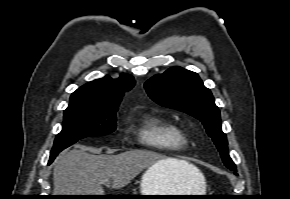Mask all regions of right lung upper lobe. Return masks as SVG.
I'll list each match as a JSON object with an SVG mask.
<instances>
[{
  "label": "right lung upper lobe",
  "instance_id": "cb5924a9",
  "mask_svg": "<svg viewBox=\"0 0 290 199\" xmlns=\"http://www.w3.org/2000/svg\"><path fill=\"white\" fill-rule=\"evenodd\" d=\"M134 86L133 77L121 74L118 79L105 76L89 82L72 93L67 109H118L124 95Z\"/></svg>",
  "mask_w": 290,
  "mask_h": 199
}]
</instances>
